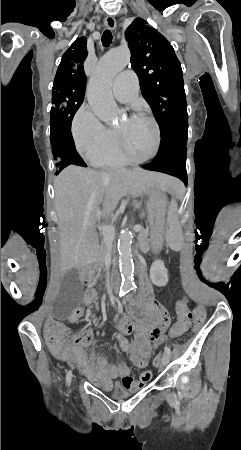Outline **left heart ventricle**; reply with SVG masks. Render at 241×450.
<instances>
[{
    "instance_id": "1",
    "label": "left heart ventricle",
    "mask_w": 241,
    "mask_h": 450,
    "mask_svg": "<svg viewBox=\"0 0 241 450\" xmlns=\"http://www.w3.org/2000/svg\"><path fill=\"white\" fill-rule=\"evenodd\" d=\"M153 122L154 118L148 113L133 115L132 121L123 122L124 144L133 160H151L154 147L152 141L157 128L153 127Z\"/></svg>"
}]
</instances>
